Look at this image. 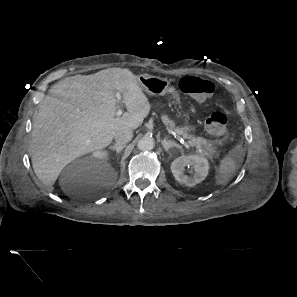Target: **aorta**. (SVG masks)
<instances>
[{
  "label": "aorta",
  "instance_id": "1",
  "mask_svg": "<svg viewBox=\"0 0 297 297\" xmlns=\"http://www.w3.org/2000/svg\"><path fill=\"white\" fill-rule=\"evenodd\" d=\"M154 146H155L154 139L149 136L142 137L137 143V147L141 151H150L154 148Z\"/></svg>",
  "mask_w": 297,
  "mask_h": 297
}]
</instances>
